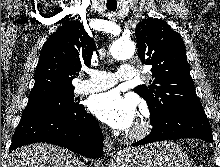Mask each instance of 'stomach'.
I'll return each mask as SVG.
<instances>
[{
    "mask_svg": "<svg viewBox=\"0 0 220 167\" xmlns=\"http://www.w3.org/2000/svg\"><path fill=\"white\" fill-rule=\"evenodd\" d=\"M117 162L120 167H191L186 152L173 142L128 149Z\"/></svg>",
    "mask_w": 220,
    "mask_h": 167,
    "instance_id": "obj_1",
    "label": "stomach"
}]
</instances>
